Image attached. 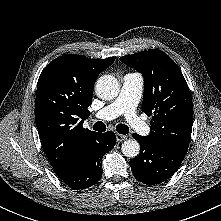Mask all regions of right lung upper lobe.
Listing matches in <instances>:
<instances>
[{
	"label": "right lung upper lobe",
	"instance_id": "obj_1",
	"mask_svg": "<svg viewBox=\"0 0 221 221\" xmlns=\"http://www.w3.org/2000/svg\"><path fill=\"white\" fill-rule=\"evenodd\" d=\"M115 57L91 59L62 55L48 64L38 79L35 121L41 144L54 171L66 178L79 166L96 134L83 128L90 112L97 76Z\"/></svg>",
	"mask_w": 221,
	"mask_h": 221
}]
</instances>
